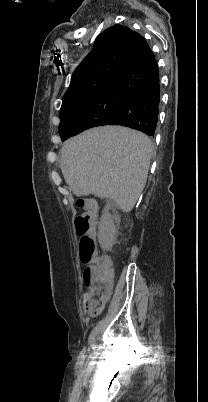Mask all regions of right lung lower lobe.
Returning <instances> with one entry per match:
<instances>
[{
    "mask_svg": "<svg viewBox=\"0 0 208 402\" xmlns=\"http://www.w3.org/2000/svg\"><path fill=\"white\" fill-rule=\"evenodd\" d=\"M113 83L120 96L118 107L107 114L60 123L62 140L101 125H122L154 135L160 102L159 70L147 42L138 49Z\"/></svg>",
    "mask_w": 208,
    "mask_h": 402,
    "instance_id": "1",
    "label": "right lung lower lobe"
}]
</instances>
